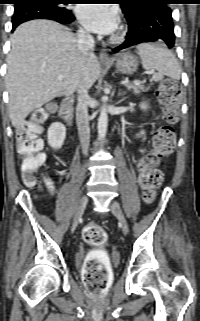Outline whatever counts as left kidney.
<instances>
[{"instance_id": "left-kidney-1", "label": "left kidney", "mask_w": 200, "mask_h": 321, "mask_svg": "<svg viewBox=\"0 0 200 321\" xmlns=\"http://www.w3.org/2000/svg\"><path fill=\"white\" fill-rule=\"evenodd\" d=\"M140 108L143 109V110H146L147 109V104L146 103H141L140 104Z\"/></svg>"}]
</instances>
